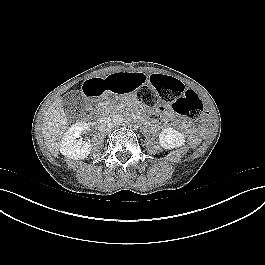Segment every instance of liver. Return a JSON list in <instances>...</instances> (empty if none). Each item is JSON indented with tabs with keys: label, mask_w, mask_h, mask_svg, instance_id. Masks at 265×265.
Listing matches in <instances>:
<instances>
[{
	"label": "liver",
	"mask_w": 265,
	"mask_h": 265,
	"mask_svg": "<svg viewBox=\"0 0 265 265\" xmlns=\"http://www.w3.org/2000/svg\"><path fill=\"white\" fill-rule=\"evenodd\" d=\"M68 119L62 108V100L57 99L48 109L42 124V133L51 154L59 153L61 138L67 129Z\"/></svg>",
	"instance_id": "obj_1"
}]
</instances>
